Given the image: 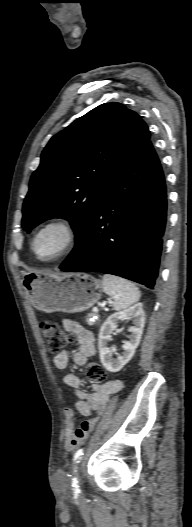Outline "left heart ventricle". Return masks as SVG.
<instances>
[{
  "label": "left heart ventricle",
  "instance_id": "1",
  "mask_svg": "<svg viewBox=\"0 0 192 527\" xmlns=\"http://www.w3.org/2000/svg\"><path fill=\"white\" fill-rule=\"evenodd\" d=\"M66 233L59 226H52L44 230L38 237L36 249L39 256L50 257L57 253L64 245Z\"/></svg>",
  "mask_w": 192,
  "mask_h": 527
}]
</instances>
